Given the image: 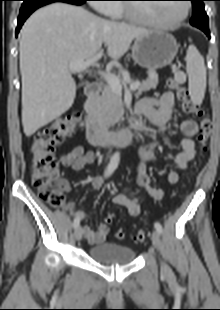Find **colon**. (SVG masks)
I'll use <instances>...</instances> for the list:
<instances>
[{
	"instance_id": "5ec220e1",
	"label": "colon",
	"mask_w": 220,
	"mask_h": 310,
	"mask_svg": "<svg viewBox=\"0 0 220 310\" xmlns=\"http://www.w3.org/2000/svg\"><path fill=\"white\" fill-rule=\"evenodd\" d=\"M185 80V74L183 72H177L175 76L168 81V85L176 91L177 97L182 104L183 111L200 118L197 142L199 151L203 152L213 129V123L206 115L201 105L189 97L188 91L183 87ZM79 120L80 114L78 112L56 120L54 123L37 131L30 145V168L33 186L38 190L42 199L54 208L61 207L65 201L62 188L57 183L59 166L58 160L54 155V150L64 138L75 131ZM113 220L114 214L109 213L105 221L111 223ZM146 236V232L138 231L134 236V241L138 243L143 242ZM124 237L125 233L123 230L120 229L116 232L117 239H123Z\"/></svg>"
}]
</instances>
